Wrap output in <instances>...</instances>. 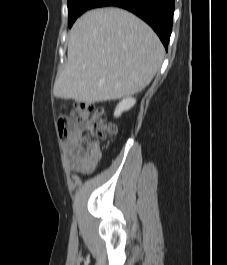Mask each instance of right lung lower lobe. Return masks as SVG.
Here are the masks:
<instances>
[{
    "instance_id": "1",
    "label": "right lung lower lobe",
    "mask_w": 227,
    "mask_h": 265,
    "mask_svg": "<svg viewBox=\"0 0 227 265\" xmlns=\"http://www.w3.org/2000/svg\"><path fill=\"white\" fill-rule=\"evenodd\" d=\"M115 6L124 8L148 23L166 50L172 32L174 0H96L92 8Z\"/></svg>"
}]
</instances>
